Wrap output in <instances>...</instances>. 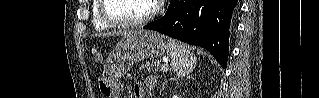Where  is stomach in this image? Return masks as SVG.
I'll return each mask as SVG.
<instances>
[{
	"instance_id": "stomach-1",
	"label": "stomach",
	"mask_w": 319,
	"mask_h": 98,
	"mask_svg": "<svg viewBox=\"0 0 319 98\" xmlns=\"http://www.w3.org/2000/svg\"><path fill=\"white\" fill-rule=\"evenodd\" d=\"M166 51L163 37L157 32L140 30L123 36L109 58L102 84L104 95L116 98L121 77L134 63L161 57Z\"/></svg>"
}]
</instances>
